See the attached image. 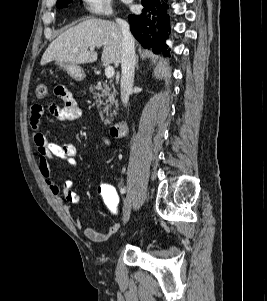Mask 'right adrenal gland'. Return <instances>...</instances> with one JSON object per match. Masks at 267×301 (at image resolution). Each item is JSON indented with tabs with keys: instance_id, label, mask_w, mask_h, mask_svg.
<instances>
[{
	"instance_id": "right-adrenal-gland-1",
	"label": "right adrenal gland",
	"mask_w": 267,
	"mask_h": 301,
	"mask_svg": "<svg viewBox=\"0 0 267 301\" xmlns=\"http://www.w3.org/2000/svg\"><path fill=\"white\" fill-rule=\"evenodd\" d=\"M136 69L138 70L139 67H138V56H136Z\"/></svg>"
}]
</instances>
